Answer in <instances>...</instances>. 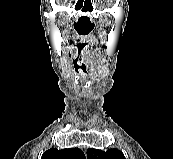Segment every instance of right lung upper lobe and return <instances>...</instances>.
<instances>
[{
	"instance_id": "1",
	"label": "right lung upper lobe",
	"mask_w": 173,
	"mask_h": 159,
	"mask_svg": "<svg viewBox=\"0 0 173 159\" xmlns=\"http://www.w3.org/2000/svg\"><path fill=\"white\" fill-rule=\"evenodd\" d=\"M41 159H86L82 150L78 148L57 150L51 148L43 153Z\"/></svg>"
}]
</instances>
